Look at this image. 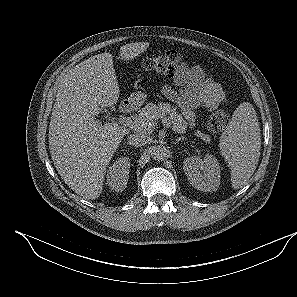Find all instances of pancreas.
Returning <instances> with one entry per match:
<instances>
[{"label":"pancreas","instance_id":"pancreas-1","mask_svg":"<svg viewBox=\"0 0 297 297\" xmlns=\"http://www.w3.org/2000/svg\"><path fill=\"white\" fill-rule=\"evenodd\" d=\"M158 119L167 122V125L172 127L175 133L183 134L187 130V122L176 109L166 104L156 105L153 103H148L140 110L139 114L134 117V120L137 121V126L135 127L138 131L150 134L156 127ZM195 135L203 140L208 137V135L200 131L195 132Z\"/></svg>","mask_w":297,"mask_h":297}]
</instances>
